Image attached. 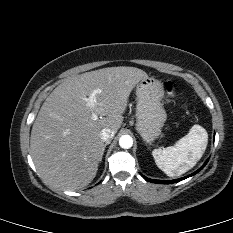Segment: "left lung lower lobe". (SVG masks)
Listing matches in <instances>:
<instances>
[{
  "label": "left lung lower lobe",
  "instance_id": "obj_1",
  "mask_svg": "<svg viewBox=\"0 0 233 233\" xmlns=\"http://www.w3.org/2000/svg\"><path fill=\"white\" fill-rule=\"evenodd\" d=\"M208 161L209 160H207L206 162H205V164L200 168V169H198L196 172H194V173H192V174H190L189 176H186V177H183V178H180V179H176V180H154V179H149V178H147V177H145V176H143L146 180H148V181H150V182H152V183H159V184H171V183H176V182H179V181H181V180H184V179H186V178H188V177H190V176H193L194 174H196V173H198L200 170H202L203 168H204V166L208 163Z\"/></svg>",
  "mask_w": 233,
  "mask_h": 233
}]
</instances>
